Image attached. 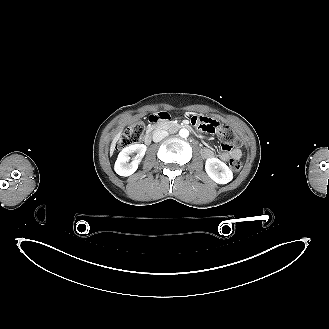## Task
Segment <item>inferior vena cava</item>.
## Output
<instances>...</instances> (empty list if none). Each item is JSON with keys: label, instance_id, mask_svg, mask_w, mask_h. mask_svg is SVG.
<instances>
[{"label": "inferior vena cava", "instance_id": "inferior-vena-cava-1", "mask_svg": "<svg viewBox=\"0 0 329 329\" xmlns=\"http://www.w3.org/2000/svg\"><path fill=\"white\" fill-rule=\"evenodd\" d=\"M168 135H169V133L167 131L158 130V131L154 132V134H153V141L154 142H160L162 139H164Z\"/></svg>", "mask_w": 329, "mask_h": 329}]
</instances>
